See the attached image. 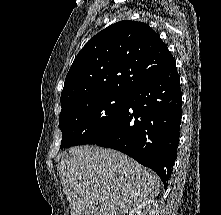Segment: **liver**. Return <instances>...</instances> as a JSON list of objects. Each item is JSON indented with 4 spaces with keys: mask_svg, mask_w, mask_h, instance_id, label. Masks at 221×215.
I'll return each mask as SVG.
<instances>
[{
    "mask_svg": "<svg viewBox=\"0 0 221 215\" xmlns=\"http://www.w3.org/2000/svg\"><path fill=\"white\" fill-rule=\"evenodd\" d=\"M60 174L71 215H83L100 200L99 215H123L160 191V179L151 170L121 152L97 146L67 150Z\"/></svg>",
    "mask_w": 221,
    "mask_h": 215,
    "instance_id": "6515ba94",
    "label": "liver"
}]
</instances>
